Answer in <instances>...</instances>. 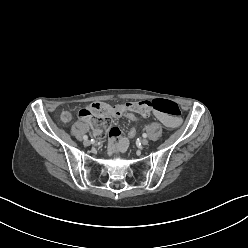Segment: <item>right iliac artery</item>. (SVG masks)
<instances>
[{"instance_id": "1", "label": "right iliac artery", "mask_w": 248, "mask_h": 248, "mask_svg": "<svg viewBox=\"0 0 248 248\" xmlns=\"http://www.w3.org/2000/svg\"><path fill=\"white\" fill-rule=\"evenodd\" d=\"M83 139H84V140H87V139H88V136H87V135H84V136H83Z\"/></svg>"}]
</instances>
